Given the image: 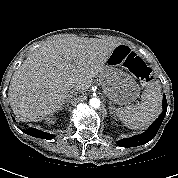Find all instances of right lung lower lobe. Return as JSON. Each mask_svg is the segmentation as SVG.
<instances>
[{
  "instance_id": "1",
  "label": "right lung lower lobe",
  "mask_w": 178,
  "mask_h": 178,
  "mask_svg": "<svg viewBox=\"0 0 178 178\" xmlns=\"http://www.w3.org/2000/svg\"><path fill=\"white\" fill-rule=\"evenodd\" d=\"M26 134L37 137V138H42V139H52L54 135L42 132L40 130H37L35 128H29L26 131H24Z\"/></svg>"
}]
</instances>
